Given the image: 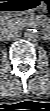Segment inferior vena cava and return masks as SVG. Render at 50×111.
<instances>
[{
	"label": "inferior vena cava",
	"mask_w": 50,
	"mask_h": 111,
	"mask_svg": "<svg viewBox=\"0 0 50 111\" xmlns=\"http://www.w3.org/2000/svg\"><path fill=\"white\" fill-rule=\"evenodd\" d=\"M20 36V32L17 31V30H12V31H6L4 34H3V38L5 40H10V39H14V38H17Z\"/></svg>",
	"instance_id": "1"
}]
</instances>
